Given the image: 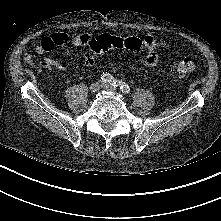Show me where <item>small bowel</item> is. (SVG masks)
I'll use <instances>...</instances> for the list:
<instances>
[{"label": "small bowel", "mask_w": 221, "mask_h": 221, "mask_svg": "<svg viewBox=\"0 0 221 221\" xmlns=\"http://www.w3.org/2000/svg\"><path fill=\"white\" fill-rule=\"evenodd\" d=\"M96 36L89 33H75L71 37L64 33H56L50 36L44 37L39 45L36 46V52L44 56L41 63L42 68L46 70L57 69L59 71H64L66 66L59 61L46 56V54L52 51L56 46L63 45L69 41L75 46H86L95 39ZM144 47L146 53L142 59V64L144 67L151 68L154 67L158 62L157 50L160 48H166L168 45L157 40L152 35H147L143 39ZM84 62L89 67H94L96 65V59L89 53L85 54Z\"/></svg>", "instance_id": "c3829d8e"}]
</instances>
